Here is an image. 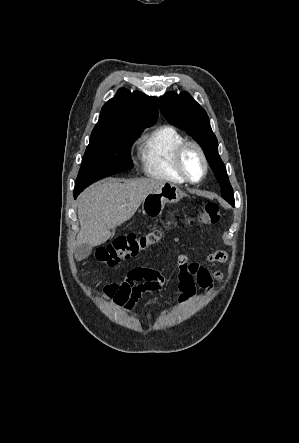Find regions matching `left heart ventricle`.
<instances>
[{"label": "left heart ventricle", "instance_id": "left-heart-ventricle-1", "mask_svg": "<svg viewBox=\"0 0 299 443\" xmlns=\"http://www.w3.org/2000/svg\"><path fill=\"white\" fill-rule=\"evenodd\" d=\"M184 166L193 179H198L202 174V162L195 149L190 148L184 156Z\"/></svg>", "mask_w": 299, "mask_h": 443}]
</instances>
